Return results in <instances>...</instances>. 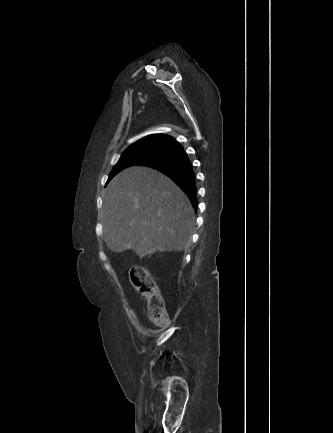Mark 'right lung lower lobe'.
I'll return each instance as SVG.
<instances>
[{"mask_svg":"<svg viewBox=\"0 0 333 433\" xmlns=\"http://www.w3.org/2000/svg\"><path fill=\"white\" fill-rule=\"evenodd\" d=\"M172 151L157 160L142 164L160 170L170 177L184 192L189 195L194 208H197V187L193 166L183 147L174 138L162 142Z\"/></svg>","mask_w":333,"mask_h":433,"instance_id":"obj_1","label":"right lung lower lobe"}]
</instances>
